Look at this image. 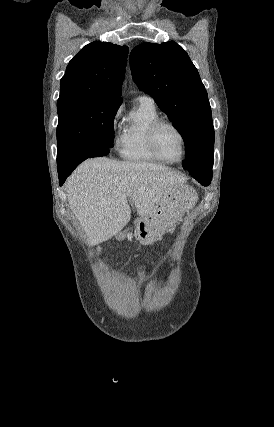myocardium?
Instances as JSON below:
<instances>
[{
	"label": "myocardium",
	"instance_id": "1",
	"mask_svg": "<svg viewBox=\"0 0 274 427\" xmlns=\"http://www.w3.org/2000/svg\"><path fill=\"white\" fill-rule=\"evenodd\" d=\"M162 127H170L173 130H175L178 133V135L180 136V139L182 142V154H181V157L176 161L167 160L165 157L162 156V154L158 150L157 133H158L159 129ZM147 142H148V147H149L150 151L161 162L166 163V164H171V165L179 164L185 159V156L187 154V142H186V138H185L184 133L182 132V130L177 125H175L174 123H172L170 121L158 120L155 123H153L152 126L150 127L149 131H148Z\"/></svg>",
	"mask_w": 274,
	"mask_h": 427
}]
</instances>
